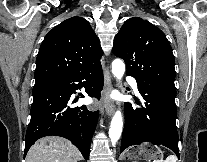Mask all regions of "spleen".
Returning <instances> with one entry per match:
<instances>
[{
  "instance_id": "1",
  "label": "spleen",
  "mask_w": 207,
  "mask_h": 162,
  "mask_svg": "<svg viewBox=\"0 0 207 162\" xmlns=\"http://www.w3.org/2000/svg\"><path fill=\"white\" fill-rule=\"evenodd\" d=\"M158 162H177V157L175 155H169L166 160L158 161Z\"/></svg>"
}]
</instances>
